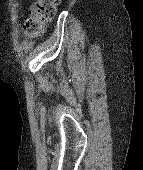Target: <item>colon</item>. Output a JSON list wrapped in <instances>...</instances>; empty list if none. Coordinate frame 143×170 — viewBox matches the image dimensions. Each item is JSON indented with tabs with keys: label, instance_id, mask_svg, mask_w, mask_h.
I'll return each mask as SVG.
<instances>
[{
	"label": "colon",
	"instance_id": "5ec220e1",
	"mask_svg": "<svg viewBox=\"0 0 143 170\" xmlns=\"http://www.w3.org/2000/svg\"><path fill=\"white\" fill-rule=\"evenodd\" d=\"M61 0H36L25 18L24 26L27 32L41 36L45 25L54 17Z\"/></svg>",
	"mask_w": 143,
	"mask_h": 170
}]
</instances>
